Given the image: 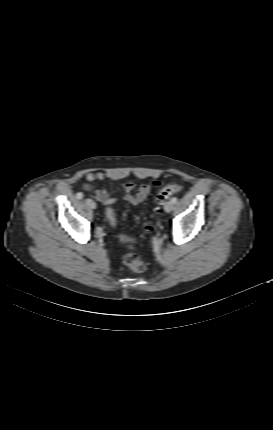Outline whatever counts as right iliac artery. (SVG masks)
Returning a JSON list of instances; mask_svg holds the SVG:
<instances>
[{
    "label": "right iliac artery",
    "mask_w": 273,
    "mask_h": 430,
    "mask_svg": "<svg viewBox=\"0 0 273 430\" xmlns=\"http://www.w3.org/2000/svg\"><path fill=\"white\" fill-rule=\"evenodd\" d=\"M83 196H84V195H83V193H81V192H79V193H77V194H76V198H77V199H82V198H83Z\"/></svg>",
    "instance_id": "1"
}]
</instances>
